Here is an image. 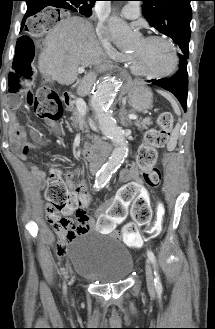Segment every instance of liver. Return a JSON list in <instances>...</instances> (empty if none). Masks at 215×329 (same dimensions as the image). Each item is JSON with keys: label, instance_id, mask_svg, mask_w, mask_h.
<instances>
[{"label": "liver", "instance_id": "6515ba94", "mask_svg": "<svg viewBox=\"0 0 215 329\" xmlns=\"http://www.w3.org/2000/svg\"><path fill=\"white\" fill-rule=\"evenodd\" d=\"M44 48L39 55L38 69L52 81L71 85L78 78L79 67L95 66L79 83L78 93L85 95L98 72L110 69L96 39L92 24L81 17L60 20L47 34Z\"/></svg>", "mask_w": 215, "mask_h": 329}]
</instances>
